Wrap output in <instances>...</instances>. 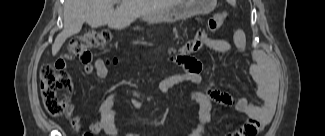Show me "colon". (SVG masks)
Masks as SVG:
<instances>
[{"mask_svg": "<svg viewBox=\"0 0 325 136\" xmlns=\"http://www.w3.org/2000/svg\"><path fill=\"white\" fill-rule=\"evenodd\" d=\"M226 19V13H217L209 21L206 28L197 31L178 51V59L187 61L191 55L206 47V40L220 29ZM111 34L107 30H93L71 40L67 50L70 59H78L88 64L92 60V51L107 45ZM116 59L114 60V62ZM41 96L46 111L53 116L62 115L69 108L68 91L63 87L62 81L53 66L47 65L40 72ZM84 136H92L90 132Z\"/></svg>", "mask_w": 325, "mask_h": 136, "instance_id": "1", "label": "colon"}]
</instances>
